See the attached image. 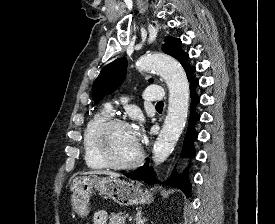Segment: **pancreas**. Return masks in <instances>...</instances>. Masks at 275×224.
Returning <instances> with one entry per match:
<instances>
[{"instance_id": "pancreas-1", "label": "pancreas", "mask_w": 275, "mask_h": 224, "mask_svg": "<svg viewBox=\"0 0 275 224\" xmlns=\"http://www.w3.org/2000/svg\"><path fill=\"white\" fill-rule=\"evenodd\" d=\"M125 219L126 217L123 216L121 213H118V214L111 213L109 224H125Z\"/></svg>"}]
</instances>
